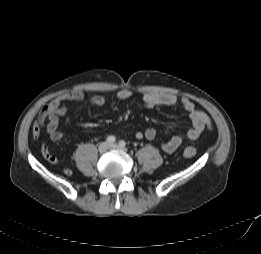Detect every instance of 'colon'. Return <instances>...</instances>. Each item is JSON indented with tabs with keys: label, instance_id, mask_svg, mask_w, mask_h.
Listing matches in <instances>:
<instances>
[{
	"label": "colon",
	"instance_id": "obj_1",
	"mask_svg": "<svg viewBox=\"0 0 261 254\" xmlns=\"http://www.w3.org/2000/svg\"><path fill=\"white\" fill-rule=\"evenodd\" d=\"M196 148L194 145H188L187 147H185L183 154L186 158H192L196 155ZM63 172L66 175H70L71 174V170L69 168H64Z\"/></svg>",
	"mask_w": 261,
	"mask_h": 254
}]
</instances>
